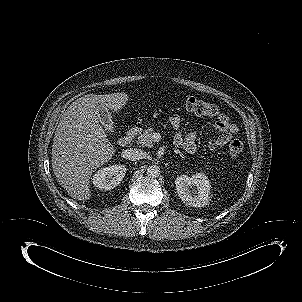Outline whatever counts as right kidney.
Listing matches in <instances>:
<instances>
[{
  "label": "right kidney",
  "instance_id": "ca27d5eb",
  "mask_svg": "<svg viewBox=\"0 0 302 302\" xmlns=\"http://www.w3.org/2000/svg\"><path fill=\"white\" fill-rule=\"evenodd\" d=\"M111 173H115L116 176L113 180H108ZM126 174V168L119 166L115 170H109L107 168L99 169L92 178L93 185L100 190H110L117 186Z\"/></svg>",
  "mask_w": 302,
  "mask_h": 302
}]
</instances>
